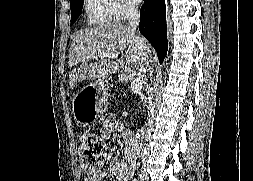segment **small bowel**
Instances as JSON below:
<instances>
[{"label":"small bowel","mask_w":253,"mask_h":181,"mask_svg":"<svg viewBox=\"0 0 253 181\" xmlns=\"http://www.w3.org/2000/svg\"><path fill=\"white\" fill-rule=\"evenodd\" d=\"M115 132L119 133L126 143L135 142L133 134L124 129L117 120H108L101 128V134L106 139ZM135 156L134 151H129L125 156V160L110 161L108 169L102 173L90 175L87 177V181H103L107 176L114 177L115 181H129L134 174Z\"/></svg>","instance_id":"small-bowel-1"}]
</instances>
